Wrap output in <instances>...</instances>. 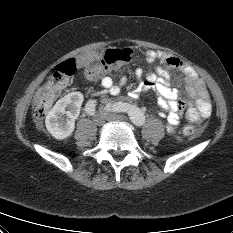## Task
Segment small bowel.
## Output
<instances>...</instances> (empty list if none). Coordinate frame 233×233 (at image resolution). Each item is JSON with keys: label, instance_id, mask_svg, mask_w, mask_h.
<instances>
[{"label": "small bowel", "instance_id": "small-bowel-1", "mask_svg": "<svg viewBox=\"0 0 233 233\" xmlns=\"http://www.w3.org/2000/svg\"><path fill=\"white\" fill-rule=\"evenodd\" d=\"M148 64L154 67L146 79L142 78V70L137 69L136 78L140 81L142 91L153 90L159 96V104L167 113V130L173 131L183 115L195 123L201 122L211 113L210 97L204 81L191 67L180 60L166 55L158 50H148L145 53ZM79 63L85 66L86 59H80ZM170 68H176L184 74L187 99L183 100L179 92L172 88ZM128 76H122L118 82H114L109 76L102 78L100 86L111 95H118L121 89L128 83Z\"/></svg>", "mask_w": 233, "mask_h": 233}]
</instances>
